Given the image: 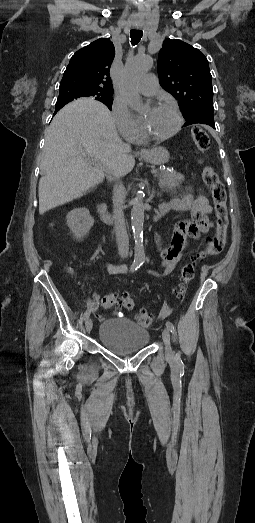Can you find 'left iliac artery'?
<instances>
[{"label": "left iliac artery", "mask_w": 255, "mask_h": 523, "mask_svg": "<svg viewBox=\"0 0 255 523\" xmlns=\"http://www.w3.org/2000/svg\"><path fill=\"white\" fill-rule=\"evenodd\" d=\"M166 326H167V328H168L172 333L175 332V327H174V325H173L170 321H167V322H166ZM175 358H176V361H180V360H181V359H180V353H179V352L176 353Z\"/></svg>", "instance_id": "left-iliac-artery-1"}]
</instances>
